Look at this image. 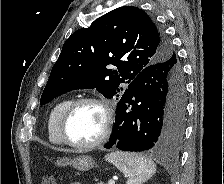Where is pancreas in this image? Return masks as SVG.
Instances as JSON below:
<instances>
[{
    "label": "pancreas",
    "mask_w": 224,
    "mask_h": 184,
    "mask_svg": "<svg viewBox=\"0 0 224 184\" xmlns=\"http://www.w3.org/2000/svg\"><path fill=\"white\" fill-rule=\"evenodd\" d=\"M96 184H102L101 182H98V183H96Z\"/></svg>",
    "instance_id": "1"
}]
</instances>
